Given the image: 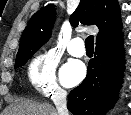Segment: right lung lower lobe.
<instances>
[{"mask_svg": "<svg viewBox=\"0 0 131 115\" xmlns=\"http://www.w3.org/2000/svg\"><path fill=\"white\" fill-rule=\"evenodd\" d=\"M125 69L123 38L96 45L87 76L68 97L73 115H105L117 100Z\"/></svg>", "mask_w": 131, "mask_h": 115, "instance_id": "98d812e1", "label": "right lung lower lobe"}]
</instances>
